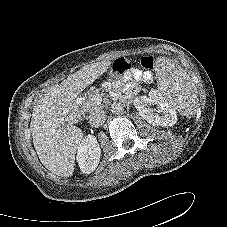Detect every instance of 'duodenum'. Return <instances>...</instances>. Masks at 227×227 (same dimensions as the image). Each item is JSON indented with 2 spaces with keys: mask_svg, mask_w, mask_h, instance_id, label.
<instances>
[{
  "mask_svg": "<svg viewBox=\"0 0 227 227\" xmlns=\"http://www.w3.org/2000/svg\"><path fill=\"white\" fill-rule=\"evenodd\" d=\"M73 117L76 118L77 117V114H74Z\"/></svg>",
  "mask_w": 227,
  "mask_h": 227,
  "instance_id": "duodenum-1",
  "label": "duodenum"
}]
</instances>
